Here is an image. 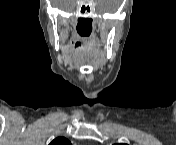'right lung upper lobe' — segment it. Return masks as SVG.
I'll list each match as a JSON object with an SVG mask.
<instances>
[{"instance_id":"1","label":"right lung upper lobe","mask_w":176,"mask_h":145,"mask_svg":"<svg viewBox=\"0 0 176 145\" xmlns=\"http://www.w3.org/2000/svg\"><path fill=\"white\" fill-rule=\"evenodd\" d=\"M49 145H70V141L65 137H57Z\"/></svg>"}]
</instances>
